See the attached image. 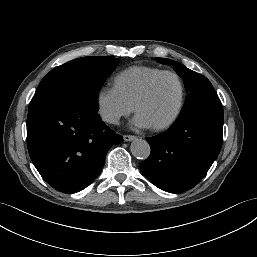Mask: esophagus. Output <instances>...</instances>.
<instances>
[{
	"instance_id": "obj_1",
	"label": "esophagus",
	"mask_w": 257,
	"mask_h": 257,
	"mask_svg": "<svg viewBox=\"0 0 257 257\" xmlns=\"http://www.w3.org/2000/svg\"><path fill=\"white\" fill-rule=\"evenodd\" d=\"M136 138L137 137L134 135H124L123 136L124 141H132V140H135Z\"/></svg>"
}]
</instances>
